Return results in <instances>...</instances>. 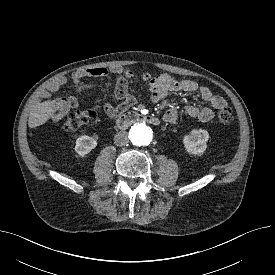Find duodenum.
<instances>
[{
  "mask_svg": "<svg viewBox=\"0 0 275 275\" xmlns=\"http://www.w3.org/2000/svg\"><path fill=\"white\" fill-rule=\"evenodd\" d=\"M136 122H145L151 125H158L159 119L155 116L142 114L139 112H128L120 115L117 118L116 124L120 129H126L130 125Z\"/></svg>",
  "mask_w": 275,
  "mask_h": 275,
  "instance_id": "410a0bca",
  "label": "duodenum"
}]
</instances>
